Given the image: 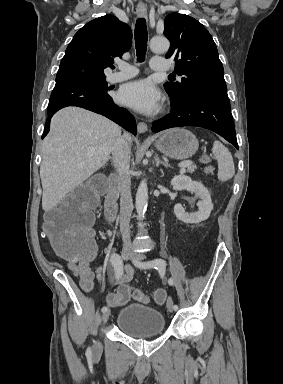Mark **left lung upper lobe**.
I'll return each mask as SVG.
<instances>
[{"instance_id": "1", "label": "left lung upper lobe", "mask_w": 283, "mask_h": 384, "mask_svg": "<svg viewBox=\"0 0 283 384\" xmlns=\"http://www.w3.org/2000/svg\"><path fill=\"white\" fill-rule=\"evenodd\" d=\"M164 35L170 40L166 58L174 59L181 82H167L164 87L174 100H184L196 93H227L224 69L214 40L194 18L180 13L166 16Z\"/></svg>"}]
</instances>
